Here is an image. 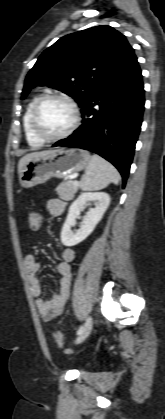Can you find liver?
<instances>
[{"label": "liver", "instance_id": "liver-1", "mask_svg": "<svg viewBox=\"0 0 165 419\" xmlns=\"http://www.w3.org/2000/svg\"><path fill=\"white\" fill-rule=\"evenodd\" d=\"M57 150H44V151H38V152H32L29 154H26L25 156H23L18 163V173H20L23 169V167L33 158L35 157H39V156H44L47 154H50L52 152H55Z\"/></svg>", "mask_w": 165, "mask_h": 419}]
</instances>
